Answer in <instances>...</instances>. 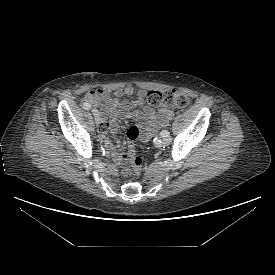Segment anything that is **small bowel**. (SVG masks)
<instances>
[{
    "label": "small bowel",
    "instance_id": "1",
    "mask_svg": "<svg viewBox=\"0 0 275 275\" xmlns=\"http://www.w3.org/2000/svg\"><path fill=\"white\" fill-rule=\"evenodd\" d=\"M95 94L89 102L101 109L102 137L109 148L113 150V157L117 164L127 161L122 153V147L116 138L118 119L133 118L141 129V140L148 141L157 130L165 127L173 117V111L161 107L155 111L146 103L147 91H135L132 86H125L110 93L105 89L94 91ZM135 95L133 100L120 101L122 97ZM136 109L135 111H131Z\"/></svg>",
    "mask_w": 275,
    "mask_h": 275
}]
</instances>
